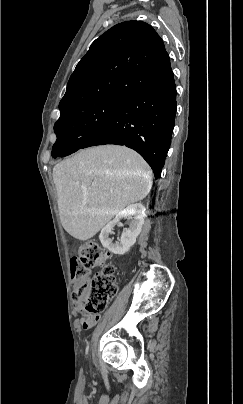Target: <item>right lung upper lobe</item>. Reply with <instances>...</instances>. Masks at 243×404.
I'll use <instances>...</instances> for the list:
<instances>
[{
    "instance_id": "cb5924a9",
    "label": "right lung upper lobe",
    "mask_w": 243,
    "mask_h": 404,
    "mask_svg": "<svg viewBox=\"0 0 243 404\" xmlns=\"http://www.w3.org/2000/svg\"><path fill=\"white\" fill-rule=\"evenodd\" d=\"M172 73L160 36L149 24L126 21L90 46L59 103L61 114L98 99L124 98L147 90Z\"/></svg>"
}]
</instances>
